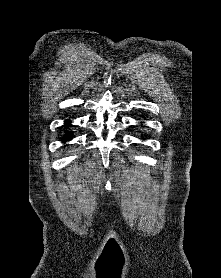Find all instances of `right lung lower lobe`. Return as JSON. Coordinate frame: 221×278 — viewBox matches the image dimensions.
<instances>
[{"label":"right lung lower lobe","instance_id":"1","mask_svg":"<svg viewBox=\"0 0 221 278\" xmlns=\"http://www.w3.org/2000/svg\"><path fill=\"white\" fill-rule=\"evenodd\" d=\"M69 123H70V121H66L65 125L69 126ZM70 139H71V133L70 132H66L65 136L62 138V141L65 142V141H68Z\"/></svg>","mask_w":221,"mask_h":278}]
</instances>
